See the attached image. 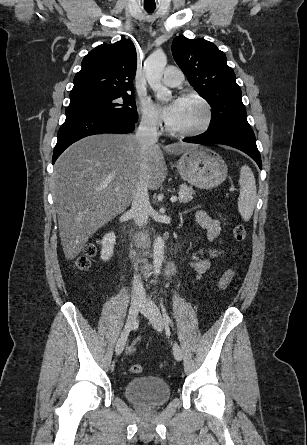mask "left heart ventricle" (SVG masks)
<instances>
[{"instance_id": "obj_1", "label": "left heart ventricle", "mask_w": 307, "mask_h": 445, "mask_svg": "<svg viewBox=\"0 0 307 445\" xmlns=\"http://www.w3.org/2000/svg\"><path fill=\"white\" fill-rule=\"evenodd\" d=\"M205 118L203 107L193 100H181L169 125L175 130H189L199 126Z\"/></svg>"}]
</instances>
